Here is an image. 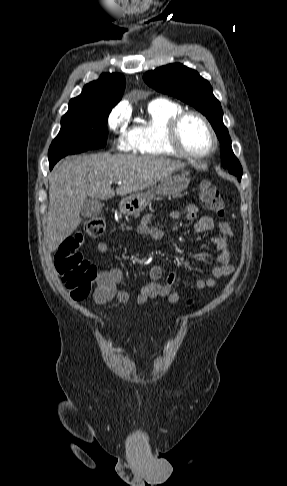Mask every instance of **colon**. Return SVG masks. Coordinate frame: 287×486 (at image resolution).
<instances>
[{
  "label": "colon",
  "instance_id": "5ec220e1",
  "mask_svg": "<svg viewBox=\"0 0 287 486\" xmlns=\"http://www.w3.org/2000/svg\"><path fill=\"white\" fill-rule=\"evenodd\" d=\"M203 206L219 217L224 215V201L216 185L204 180L200 185ZM106 229L105 219L96 216L88 219L82 231L67 238L55 255V268L65 284L70 296L76 301L89 297L97 279L96 267L79 252V247L87 238H97Z\"/></svg>",
  "mask_w": 287,
  "mask_h": 486
}]
</instances>
